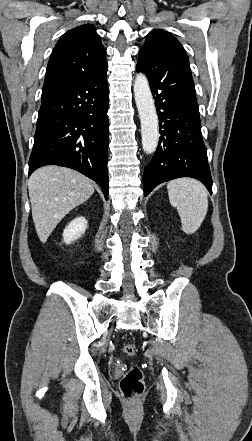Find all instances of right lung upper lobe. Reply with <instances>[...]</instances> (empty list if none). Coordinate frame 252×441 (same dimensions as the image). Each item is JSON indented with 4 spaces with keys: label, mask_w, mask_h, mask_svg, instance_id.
I'll use <instances>...</instances> for the list:
<instances>
[{
    "label": "right lung upper lobe",
    "mask_w": 252,
    "mask_h": 441,
    "mask_svg": "<svg viewBox=\"0 0 252 441\" xmlns=\"http://www.w3.org/2000/svg\"><path fill=\"white\" fill-rule=\"evenodd\" d=\"M106 50L93 25L67 31L50 56L43 90L60 84L105 75Z\"/></svg>",
    "instance_id": "1"
}]
</instances>
